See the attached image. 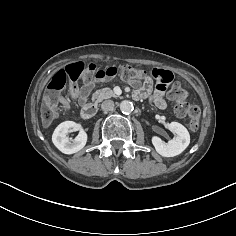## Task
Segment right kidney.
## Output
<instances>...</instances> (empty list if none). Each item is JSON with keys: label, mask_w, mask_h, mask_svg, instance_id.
<instances>
[{"label": "right kidney", "mask_w": 236, "mask_h": 236, "mask_svg": "<svg viewBox=\"0 0 236 236\" xmlns=\"http://www.w3.org/2000/svg\"><path fill=\"white\" fill-rule=\"evenodd\" d=\"M80 130L75 139L68 137L70 132ZM53 144L64 154H73L80 151L87 142V134L79 124L73 121H64L59 124L52 135Z\"/></svg>", "instance_id": "1"}]
</instances>
